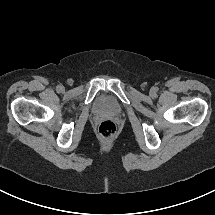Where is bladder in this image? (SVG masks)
I'll list each match as a JSON object with an SVG mask.
<instances>
[{
  "label": "bladder",
  "instance_id": "31cf9c89",
  "mask_svg": "<svg viewBox=\"0 0 215 215\" xmlns=\"http://www.w3.org/2000/svg\"><path fill=\"white\" fill-rule=\"evenodd\" d=\"M94 109L98 113H106V114L121 113V107L117 104V102L112 97L107 95H101L96 99L94 103Z\"/></svg>",
  "mask_w": 215,
  "mask_h": 215
}]
</instances>
